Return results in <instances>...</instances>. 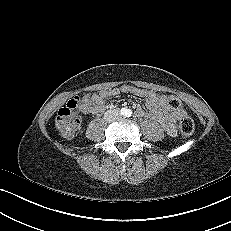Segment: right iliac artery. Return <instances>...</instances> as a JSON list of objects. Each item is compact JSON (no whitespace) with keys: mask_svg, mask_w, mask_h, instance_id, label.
Returning a JSON list of instances; mask_svg holds the SVG:
<instances>
[{"mask_svg":"<svg viewBox=\"0 0 231 231\" xmlns=\"http://www.w3.org/2000/svg\"><path fill=\"white\" fill-rule=\"evenodd\" d=\"M126 113V110L123 108L121 109V114L124 115Z\"/></svg>","mask_w":231,"mask_h":231,"instance_id":"right-iliac-artery-1","label":"right iliac artery"}]
</instances>
